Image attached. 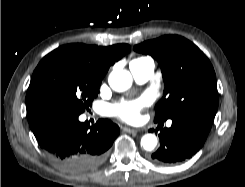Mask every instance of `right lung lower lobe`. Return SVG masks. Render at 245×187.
I'll use <instances>...</instances> for the list:
<instances>
[{
  "mask_svg": "<svg viewBox=\"0 0 245 187\" xmlns=\"http://www.w3.org/2000/svg\"><path fill=\"white\" fill-rule=\"evenodd\" d=\"M79 114L55 111L30 121L40 147L48 157L71 172H86L101 165L119 135V127L100 119L95 125L78 120Z\"/></svg>",
  "mask_w": 245,
  "mask_h": 187,
  "instance_id": "98d812e1",
  "label": "right lung lower lobe"
}]
</instances>
